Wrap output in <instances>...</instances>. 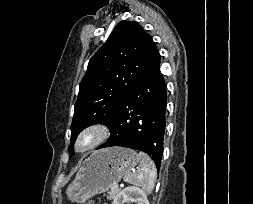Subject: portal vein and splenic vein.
Returning <instances> with one entry per match:
<instances>
[{"label":"portal vein and splenic vein","instance_id":"1","mask_svg":"<svg viewBox=\"0 0 253 204\" xmlns=\"http://www.w3.org/2000/svg\"><path fill=\"white\" fill-rule=\"evenodd\" d=\"M119 186H118V184H114V188H118Z\"/></svg>","mask_w":253,"mask_h":204}]
</instances>
